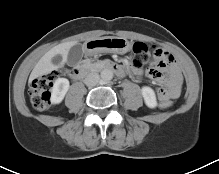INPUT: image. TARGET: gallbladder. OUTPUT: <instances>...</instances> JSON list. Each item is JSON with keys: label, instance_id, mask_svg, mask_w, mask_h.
<instances>
[{"label": "gallbladder", "instance_id": "1", "mask_svg": "<svg viewBox=\"0 0 219 174\" xmlns=\"http://www.w3.org/2000/svg\"><path fill=\"white\" fill-rule=\"evenodd\" d=\"M83 46L80 44H75L74 46H72L68 52V56H67V63L70 66H75L77 65L82 57H83Z\"/></svg>", "mask_w": 219, "mask_h": 174}]
</instances>
